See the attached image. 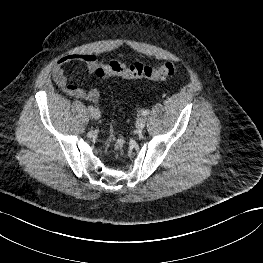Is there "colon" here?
Segmentation results:
<instances>
[{
	"instance_id": "1",
	"label": "colon",
	"mask_w": 263,
	"mask_h": 263,
	"mask_svg": "<svg viewBox=\"0 0 263 263\" xmlns=\"http://www.w3.org/2000/svg\"><path fill=\"white\" fill-rule=\"evenodd\" d=\"M176 71V65L173 62H163L156 66H148L142 63L125 64L120 61H110L101 65L96 70V75L100 78L117 76L125 79H146L152 81H161L172 76ZM125 144L123 136L115 141L113 151L118 153Z\"/></svg>"
}]
</instances>
